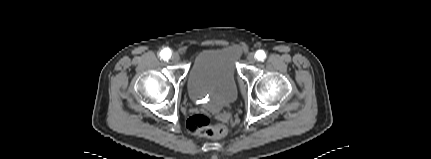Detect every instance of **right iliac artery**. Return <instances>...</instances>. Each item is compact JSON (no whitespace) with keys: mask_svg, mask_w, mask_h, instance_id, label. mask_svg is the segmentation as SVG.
Here are the masks:
<instances>
[{"mask_svg":"<svg viewBox=\"0 0 431 159\" xmlns=\"http://www.w3.org/2000/svg\"><path fill=\"white\" fill-rule=\"evenodd\" d=\"M171 56V50L169 48H165L160 52V57L164 60H168Z\"/></svg>","mask_w":431,"mask_h":159,"instance_id":"right-iliac-artery-1","label":"right iliac artery"}]
</instances>
